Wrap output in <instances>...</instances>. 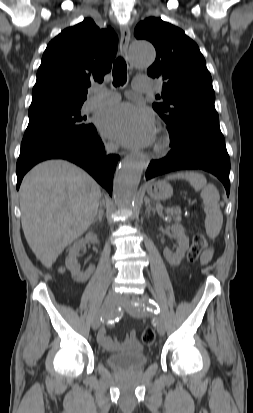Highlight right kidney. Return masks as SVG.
Wrapping results in <instances>:
<instances>
[{"instance_id":"1","label":"right kidney","mask_w":253,"mask_h":413,"mask_svg":"<svg viewBox=\"0 0 253 413\" xmlns=\"http://www.w3.org/2000/svg\"><path fill=\"white\" fill-rule=\"evenodd\" d=\"M88 242L98 244L99 240L96 234L89 232L85 238L76 241L69 250V255L66 258V267L70 270L72 277L78 282L87 281L94 271V267L90 266L85 272L80 271V265L77 261L80 251L86 246Z\"/></svg>"}]
</instances>
